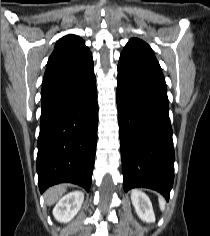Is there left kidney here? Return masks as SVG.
<instances>
[{
    "mask_svg": "<svg viewBox=\"0 0 210 236\" xmlns=\"http://www.w3.org/2000/svg\"><path fill=\"white\" fill-rule=\"evenodd\" d=\"M131 200L139 218L147 223L155 222V215L149 197L142 191L133 190Z\"/></svg>",
    "mask_w": 210,
    "mask_h": 236,
    "instance_id": "left-kidney-1",
    "label": "left kidney"
}]
</instances>
